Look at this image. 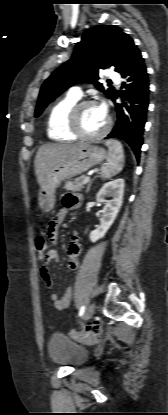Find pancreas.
<instances>
[{
  "label": "pancreas",
  "mask_w": 168,
  "mask_h": 415,
  "mask_svg": "<svg viewBox=\"0 0 168 415\" xmlns=\"http://www.w3.org/2000/svg\"><path fill=\"white\" fill-rule=\"evenodd\" d=\"M84 179H85V176H81L79 178H76L73 181H67L65 183L64 188L66 190H70L73 192L81 191L84 188V183H83Z\"/></svg>",
  "instance_id": "1"
}]
</instances>
